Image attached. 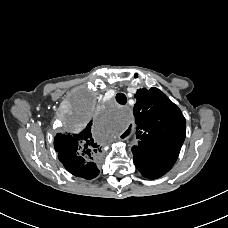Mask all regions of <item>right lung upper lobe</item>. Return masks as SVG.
Here are the masks:
<instances>
[{"label": "right lung upper lobe", "instance_id": "cb5924a9", "mask_svg": "<svg viewBox=\"0 0 228 228\" xmlns=\"http://www.w3.org/2000/svg\"><path fill=\"white\" fill-rule=\"evenodd\" d=\"M92 120L80 132L58 134L54 140L58 158L65 168L72 166L78 177L92 179L96 177L97 167L93 161L99 152L100 145L91 131Z\"/></svg>", "mask_w": 228, "mask_h": 228}]
</instances>
